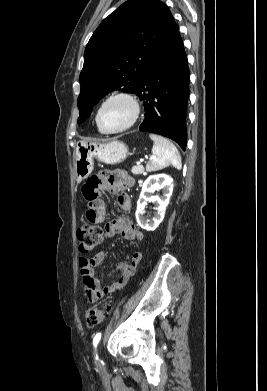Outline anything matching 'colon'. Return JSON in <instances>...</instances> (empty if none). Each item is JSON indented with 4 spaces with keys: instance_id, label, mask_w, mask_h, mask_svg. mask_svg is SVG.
<instances>
[{
    "instance_id": "1",
    "label": "colon",
    "mask_w": 267,
    "mask_h": 391,
    "mask_svg": "<svg viewBox=\"0 0 267 391\" xmlns=\"http://www.w3.org/2000/svg\"><path fill=\"white\" fill-rule=\"evenodd\" d=\"M102 237V228L96 224L84 223L79 226L77 239L80 252L83 254L91 253L99 245ZM109 310V305L89 307L85 313L87 324L93 326L102 323L106 319Z\"/></svg>"
}]
</instances>
